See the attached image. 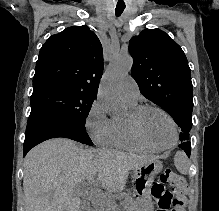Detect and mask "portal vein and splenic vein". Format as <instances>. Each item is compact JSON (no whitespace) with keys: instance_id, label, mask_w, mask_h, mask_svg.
<instances>
[{"instance_id":"portal-vein-and-splenic-vein-1","label":"portal vein and splenic vein","mask_w":219,"mask_h":211,"mask_svg":"<svg viewBox=\"0 0 219 211\" xmlns=\"http://www.w3.org/2000/svg\"><path fill=\"white\" fill-rule=\"evenodd\" d=\"M91 187H86V189H83V187H76L75 193H82L84 195V199H87V195H91L90 193ZM100 203H102V199H100ZM104 203H114L113 199H109V201H104Z\"/></svg>"}]
</instances>
